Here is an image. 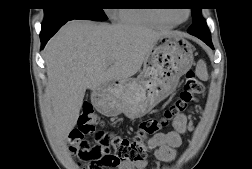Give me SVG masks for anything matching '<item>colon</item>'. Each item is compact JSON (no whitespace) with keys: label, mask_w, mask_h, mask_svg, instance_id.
I'll list each match as a JSON object with an SVG mask.
<instances>
[{"label":"colon","mask_w":252,"mask_h":169,"mask_svg":"<svg viewBox=\"0 0 252 169\" xmlns=\"http://www.w3.org/2000/svg\"><path fill=\"white\" fill-rule=\"evenodd\" d=\"M203 90L204 86L195 72L189 70L185 73L179 99L164 111L163 118L143 121L134 137L116 131L97 132L95 143L86 140L85 136L95 133L100 119L93 107L86 104L79 116L78 127L68 138L69 150L75 155L81 169H111L122 162L142 161L149 151L145 140L157 134L172 116L189 111L196 96Z\"/></svg>","instance_id":"1"}]
</instances>
